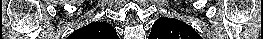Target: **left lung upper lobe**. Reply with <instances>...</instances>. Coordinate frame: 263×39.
Segmentation results:
<instances>
[{
	"label": "left lung upper lobe",
	"mask_w": 263,
	"mask_h": 39,
	"mask_svg": "<svg viewBox=\"0 0 263 39\" xmlns=\"http://www.w3.org/2000/svg\"><path fill=\"white\" fill-rule=\"evenodd\" d=\"M149 39H202V37L180 20L161 17L153 24Z\"/></svg>",
	"instance_id": "1"
}]
</instances>
